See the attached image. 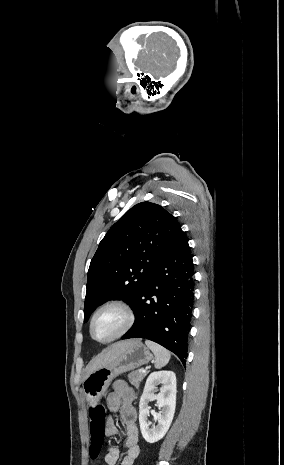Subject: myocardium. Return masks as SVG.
Listing matches in <instances>:
<instances>
[{
  "label": "myocardium",
  "instance_id": "f54148a6",
  "mask_svg": "<svg viewBox=\"0 0 284 465\" xmlns=\"http://www.w3.org/2000/svg\"><path fill=\"white\" fill-rule=\"evenodd\" d=\"M105 309H116V310H119L120 312L123 313L124 317H125V324L122 328V330L115 336L109 338V339H106V340H97L95 339L93 336H92V326H93V323H94V320L96 318V316L103 310ZM135 323V313L133 311V309L126 303L124 302H121V301H111V302H108V303H105L103 305H101L99 308H97L94 313L92 314L91 318H90V321H89V326H88V331H89V335L91 337V339L99 344H109V343H112V342H115L119 339H121L122 337H124L129 331L130 329L133 327Z\"/></svg>",
  "mask_w": 284,
  "mask_h": 465
}]
</instances>
